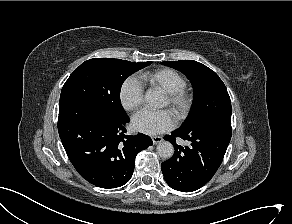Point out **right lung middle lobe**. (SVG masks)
<instances>
[{"instance_id":"dd1d6c3e","label":"right lung middle lobe","mask_w":292,"mask_h":224,"mask_svg":"<svg viewBox=\"0 0 292 224\" xmlns=\"http://www.w3.org/2000/svg\"><path fill=\"white\" fill-rule=\"evenodd\" d=\"M152 62L134 63L113 58H94L82 63L65 82L60 102L84 101L109 115H125L120 101L123 82Z\"/></svg>"}]
</instances>
